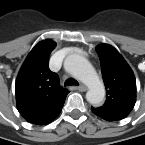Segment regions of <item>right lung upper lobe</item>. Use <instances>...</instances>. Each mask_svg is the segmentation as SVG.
<instances>
[{"label":"right lung upper lobe","instance_id":"right-lung-upper-lobe-1","mask_svg":"<svg viewBox=\"0 0 145 145\" xmlns=\"http://www.w3.org/2000/svg\"><path fill=\"white\" fill-rule=\"evenodd\" d=\"M56 43L39 42L24 61L16 80V101L20 114L30 123L44 125L60 113L68 91L59 85V77L48 62Z\"/></svg>","mask_w":145,"mask_h":145}]
</instances>
